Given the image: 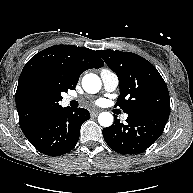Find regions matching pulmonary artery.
Wrapping results in <instances>:
<instances>
[{
    "label": "pulmonary artery",
    "instance_id": "1",
    "mask_svg": "<svg viewBox=\"0 0 193 193\" xmlns=\"http://www.w3.org/2000/svg\"><path fill=\"white\" fill-rule=\"evenodd\" d=\"M100 78L102 80L103 83V87L107 92H113L117 86H118V77L117 75L112 72L111 70L108 69H104L100 72ZM76 100V98L68 96L64 99V102L66 104H69L71 101ZM128 117L127 114H123L122 115V119L126 120Z\"/></svg>",
    "mask_w": 193,
    "mask_h": 193
}]
</instances>
